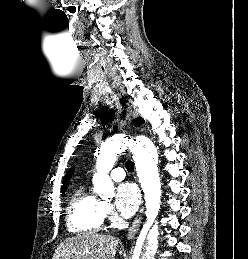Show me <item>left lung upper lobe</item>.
Returning <instances> with one entry per match:
<instances>
[{"instance_id":"left-lung-upper-lobe-1","label":"left lung upper lobe","mask_w":248,"mask_h":259,"mask_svg":"<svg viewBox=\"0 0 248 259\" xmlns=\"http://www.w3.org/2000/svg\"><path fill=\"white\" fill-rule=\"evenodd\" d=\"M143 122H144V120L141 119V118H139V119H137V120L135 121V124L138 126V125H140V124L143 123Z\"/></svg>"}]
</instances>
